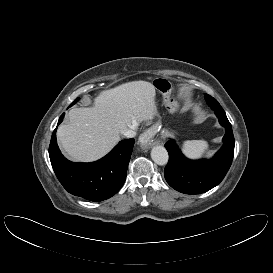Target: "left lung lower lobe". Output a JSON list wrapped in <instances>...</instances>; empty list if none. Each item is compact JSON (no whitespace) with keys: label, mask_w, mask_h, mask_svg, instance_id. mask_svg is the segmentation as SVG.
Masks as SVG:
<instances>
[{"label":"left lung lower lobe","mask_w":273,"mask_h":273,"mask_svg":"<svg viewBox=\"0 0 273 273\" xmlns=\"http://www.w3.org/2000/svg\"><path fill=\"white\" fill-rule=\"evenodd\" d=\"M220 124L225 127L224 145L211 160L192 161L185 158L171 140L165 144L169 161L164 170L168 184L185 194H200L217 186L228 172L234 156L232 127L224 111H215Z\"/></svg>","instance_id":"0a47b994"}]
</instances>
